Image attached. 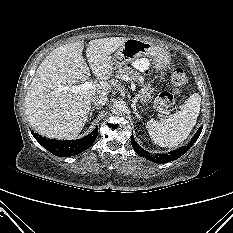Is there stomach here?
Returning a JSON list of instances; mask_svg holds the SVG:
<instances>
[{"mask_svg":"<svg viewBox=\"0 0 233 233\" xmlns=\"http://www.w3.org/2000/svg\"><path fill=\"white\" fill-rule=\"evenodd\" d=\"M147 56L152 58L154 68L157 70L166 68L170 62V56L162 47L146 40L128 38L112 56L113 67L121 68L123 65L135 59ZM153 88L150 83L142 85L138 98L141 103H148L152 99Z\"/></svg>","mask_w":233,"mask_h":233,"instance_id":"0dacf381","label":"stomach"}]
</instances>
